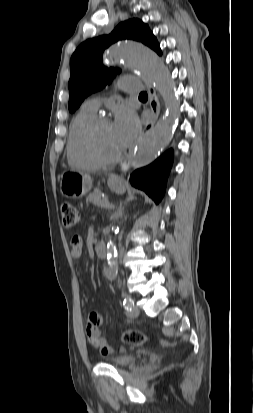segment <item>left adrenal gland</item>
Segmentation results:
<instances>
[{"label": "left adrenal gland", "instance_id": "left-adrenal-gland-1", "mask_svg": "<svg viewBox=\"0 0 253 413\" xmlns=\"http://www.w3.org/2000/svg\"><path fill=\"white\" fill-rule=\"evenodd\" d=\"M123 214H124V208H123V207H120V208L117 210V212L114 214V218H115V219H119V218H121V217L123 216Z\"/></svg>", "mask_w": 253, "mask_h": 413}]
</instances>
